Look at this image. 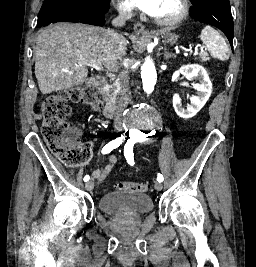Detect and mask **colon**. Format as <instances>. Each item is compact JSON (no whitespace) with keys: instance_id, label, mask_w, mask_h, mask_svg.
Masks as SVG:
<instances>
[{"instance_id":"1","label":"colon","mask_w":256,"mask_h":267,"mask_svg":"<svg viewBox=\"0 0 256 267\" xmlns=\"http://www.w3.org/2000/svg\"><path fill=\"white\" fill-rule=\"evenodd\" d=\"M69 102L88 106L95 111L102 108L101 102L91 88L75 87L58 94L47 96L42 105V133L49 149L67 166L85 164L91 157V149L87 144H76L75 132L67 123L71 113ZM115 189L147 192L151 186L143 182H118Z\"/></svg>"}]
</instances>
